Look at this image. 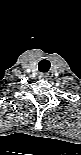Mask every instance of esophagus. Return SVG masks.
Segmentation results:
<instances>
[{
    "instance_id": "esophagus-1",
    "label": "esophagus",
    "mask_w": 81,
    "mask_h": 155,
    "mask_svg": "<svg viewBox=\"0 0 81 155\" xmlns=\"http://www.w3.org/2000/svg\"><path fill=\"white\" fill-rule=\"evenodd\" d=\"M40 78H42V79H48V74H46V73H41V74H40Z\"/></svg>"
}]
</instances>
